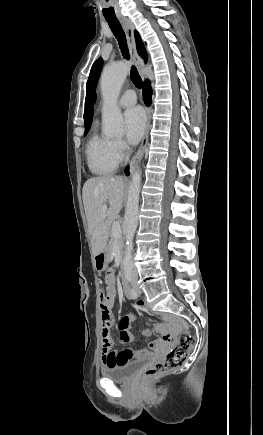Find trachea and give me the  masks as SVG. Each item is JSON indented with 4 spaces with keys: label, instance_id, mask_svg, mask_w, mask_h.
Segmentation results:
<instances>
[{
    "label": "trachea",
    "instance_id": "obj_1",
    "mask_svg": "<svg viewBox=\"0 0 263 435\" xmlns=\"http://www.w3.org/2000/svg\"><path fill=\"white\" fill-rule=\"evenodd\" d=\"M110 26V29L112 30L114 36L116 37L119 47L121 49L122 55L125 59L129 60V52H128V48H127V43H126V36L124 33V30L121 27V24L118 20H106ZM130 78L133 82V84L141 89L142 87V79L136 69L135 66L131 67V71H130Z\"/></svg>",
    "mask_w": 263,
    "mask_h": 435
}]
</instances>
